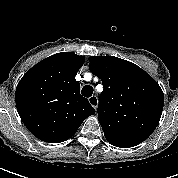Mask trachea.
Instances as JSON below:
<instances>
[{
    "instance_id": "1",
    "label": "trachea",
    "mask_w": 178,
    "mask_h": 178,
    "mask_svg": "<svg viewBox=\"0 0 178 178\" xmlns=\"http://www.w3.org/2000/svg\"><path fill=\"white\" fill-rule=\"evenodd\" d=\"M92 94H93V87H92V86L86 85V86H84V87L82 88V95H83L84 97L89 98V97L92 96Z\"/></svg>"
}]
</instances>
